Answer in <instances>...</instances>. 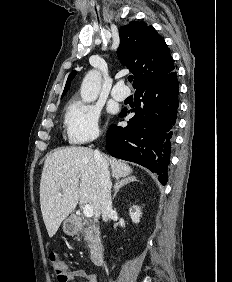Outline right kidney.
<instances>
[{"label":"right kidney","instance_id":"1","mask_svg":"<svg viewBox=\"0 0 232 282\" xmlns=\"http://www.w3.org/2000/svg\"><path fill=\"white\" fill-rule=\"evenodd\" d=\"M133 209L135 210V212L132 211V208L129 210L130 217L134 223H139L140 217L142 215L141 210L138 206H133Z\"/></svg>","mask_w":232,"mask_h":282}]
</instances>
